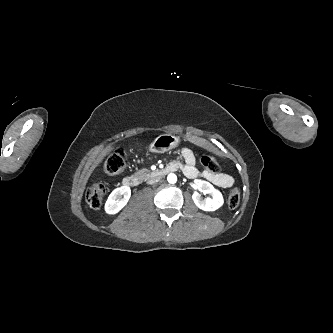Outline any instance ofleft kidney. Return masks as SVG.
<instances>
[{"label":"left kidney","instance_id":"1","mask_svg":"<svg viewBox=\"0 0 333 333\" xmlns=\"http://www.w3.org/2000/svg\"><path fill=\"white\" fill-rule=\"evenodd\" d=\"M195 184L210 197L202 198L198 192H194L192 199L196 206L204 211H215L223 205V196L212 184L204 180H195Z\"/></svg>","mask_w":333,"mask_h":333}]
</instances>
